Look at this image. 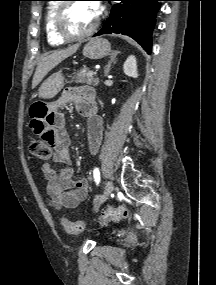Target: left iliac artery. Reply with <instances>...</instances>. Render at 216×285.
Instances as JSON below:
<instances>
[{"label": "left iliac artery", "instance_id": "obj_1", "mask_svg": "<svg viewBox=\"0 0 216 285\" xmlns=\"http://www.w3.org/2000/svg\"><path fill=\"white\" fill-rule=\"evenodd\" d=\"M93 177H94V180L96 182V184L98 185L99 182H100V171L98 168H95L94 171H93Z\"/></svg>", "mask_w": 216, "mask_h": 285}]
</instances>
